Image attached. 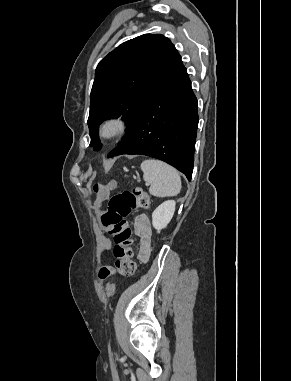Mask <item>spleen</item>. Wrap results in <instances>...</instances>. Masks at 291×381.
Segmentation results:
<instances>
[{
	"instance_id": "1",
	"label": "spleen",
	"mask_w": 291,
	"mask_h": 381,
	"mask_svg": "<svg viewBox=\"0 0 291 381\" xmlns=\"http://www.w3.org/2000/svg\"><path fill=\"white\" fill-rule=\"evenodd\" d=\"M144 181L150 185L149 193L156 197L176 196L181 190V178L175 168L155 159L141 163Z\"/></svg>"
}]
</instances>
